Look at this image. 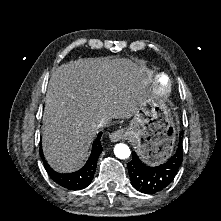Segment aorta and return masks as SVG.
Returning a JSON list of instances; mask_svg holds the SVG:
<instances>
[{"instance_id":"obj_1","label":"aorta","mask_w":221,"mask_h":221,"mask_svg":"<svg viewBox=\"0 0 221 221\" xmlns=\"http://www.w3.org/2000/svg\"><path fill=\"white\" fill-rule=\"evenodd\" d=\"M114 154L119 159H127L131 155L130 148L123 143H118L114 147Z\"/></svg>"}]
</instances>
